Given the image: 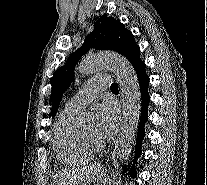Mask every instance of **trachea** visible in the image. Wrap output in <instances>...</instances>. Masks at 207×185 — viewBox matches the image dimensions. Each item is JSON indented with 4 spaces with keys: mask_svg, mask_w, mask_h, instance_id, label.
<instances>
[{
    "mask_svg": "<svg viewBox=\"0 0 207 185\" xmlns=\"http://www.w3.org/2000/svg\"><path fill=\"white\" fill-rule=\"evenodd\" d=\"M111 90H118V85H117V83H112V85H111Z\"/></svg>",
    "mask_w": 207,
    "mask_h": 185,
    "instance_id": "3493384b",
    "label": "trachea"
}]
</instances>
